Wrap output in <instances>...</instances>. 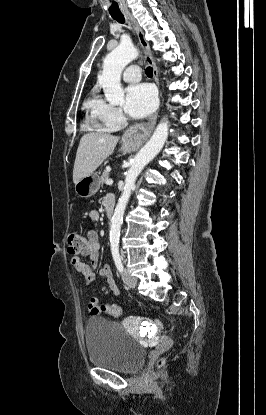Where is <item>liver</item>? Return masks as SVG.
Returning <instances> with one entry per match:
<instances>
[{
	"mask_svg": "<svg viewBox=\"0 0 266 415\" xmlns=\"http://www.w3.org/2000/svg\"><path fill=\"white\" fill-rule=\"evenodd\" d=\"M118 137L108 133L92 132L82 136L77 149L73 182L92 174L113 153Z\"/></svg>",
	"mask_w": 266,
	"mask_h": 415,
	"instance_id": "6515ba94",
	"label": "liver"
}]
</instances>
